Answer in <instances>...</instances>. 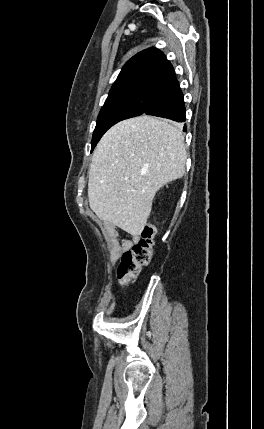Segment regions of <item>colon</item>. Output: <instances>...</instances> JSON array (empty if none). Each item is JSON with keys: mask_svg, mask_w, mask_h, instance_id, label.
<instances>
[{"mask_svg": "<svg viewBox=\"0 0 264 429\" xmlns=\"http://www.w3.org/2000/svg\"><path fill=\"white\" fill-rule=\"evenodd\" d=\"M157 229L152 224H147L139 241L131 249L122 253L116 269V276L122 286L129 285L139 274L142 266L149 263L155 245Z\"/></svg>", "mask_w": 264, "mask_h": 429, "instance_id": "obj_1", "label": "colon"}]
</instances>
